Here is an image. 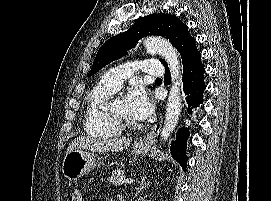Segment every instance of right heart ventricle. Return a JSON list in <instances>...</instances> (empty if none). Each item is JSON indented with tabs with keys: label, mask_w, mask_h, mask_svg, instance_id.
I'll use <instances>...</instances> for the list:
<instances>
[{
	"label": "right heart ventricle",
	"mask_w": 271,
	"mask_h": 201,
	"mask_svg": "<svg viewBox=\"0 0 271 201\" xmlns=\"http://www.w3.org/2000/svg\"><path fill=\"white\" fill-rule=\"evenodd\" d=\"M112 93L113 89L99 85L88 94L84 114V129L87 134L98 138H108L122 133V128L105 107Z\"/></svg>",
	"instance_id": "1"
}]
</instances>
